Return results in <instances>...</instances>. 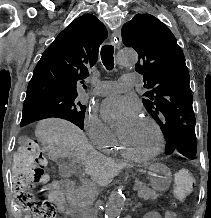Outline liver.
I'll return each mask as SVG.
<instances>
[{
	"mask_svg": "<svg viewBox=\"0 0 211 218\" xmlns=\"http://www.w3.org/2000/svg\"><path fill=\"white\" fill-rule=\"evenodd\" d=\"M35 136L44 142L45 148L50 150L55 158L65 156V158H74L76 162H82L86 174L101 186L110 184L125 166V164H115L114 160H109L92 150L82 130L66 120H58V118L42 120L35 130Z\"/></svg>",
	"mask_w": 211,
	"mask_h": 218,
	"instance_id": "1",
	"label": "liver"
}]
</instances>
